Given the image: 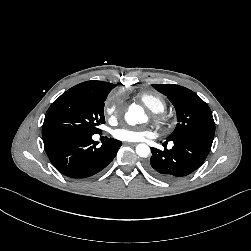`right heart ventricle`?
Returning a JSON list of instances; mask_svg holds the SVG:
<instances>
[{"instance_id": "1", "label": "right heart ventricle", "mask_w": 251, "mask_h": 251, "mask_svg": "<svg viewBox=\"0 0 251 251\" xmlns=\"http://www.w3.org/2000/svg\"><path fill=\"white\" fill-rule=\"evenodd\" d=\"M139 100L152 112L161 113L166 108L165 100L157 94L141 93L138 95Z\"/></svg>"}]
</instances>
